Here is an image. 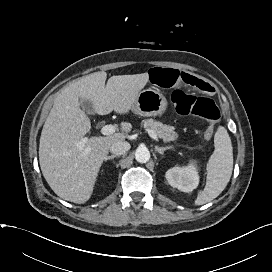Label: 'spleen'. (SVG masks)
I'll use <instances>...</instances> for the list:
<instances>
[{
  "label": "spleen",
  "instance_id": "spleen-1",
  "mask_svg": "<svg viewBox=\"0 0 272 272\" xmlns=\"http://www.w3.org/2000/svg\"><path fill=\"white\" fill-rule=\"evenodd\" d=\"M215 150L210 156L207 167L206 186L195 200V205L206 204L227 186L233 169V148L227 130L219 126L214 136Z\"/></svg>",
  "mask_w": 272,
  "mask_h": 272
}]
</instances>
